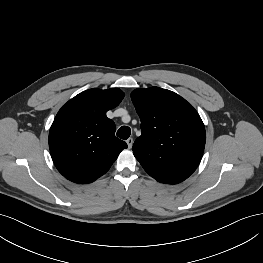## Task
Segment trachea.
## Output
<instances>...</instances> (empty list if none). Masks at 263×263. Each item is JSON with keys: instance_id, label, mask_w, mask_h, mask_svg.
Here are the masks:
<instances>
[{"instance_id": "trachea-1", "label": "trachea", "mask_w": 263, "mask_h": 263, "mask_svg": "<svg viewBox=\"0 0 263 263\" xmlns=\"http://www.w3.org/2000/svg\"><path fill=\"white\" fill-rule=\"evenodd\" d=\"M130 134H131V129L128 126H122L117 131V136L123 140L128 139Z\"/></svg>"}]
</instances>
